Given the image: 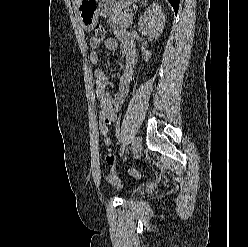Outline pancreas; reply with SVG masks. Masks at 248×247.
I'll return each mask as SVG.
<instances>
[{
	"mask_svg": "<svg viewBox=\"0 0 248 247\" xmlns=\"http://www.w3.org/2000/svg\"><path fill=\"white\" fill-rule=\"evenodd\" d=\"M133 14L130 11H118L112 14L108 20L110 27L116 28H128L132 23Z\"/></svg>",
	"mask_w": 248,
	"mask_h": 247,
	"instance_id": "1",
	"label": "pancreas"
}]
</instances>
